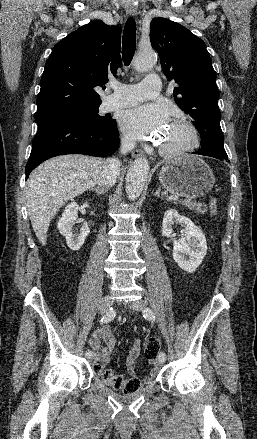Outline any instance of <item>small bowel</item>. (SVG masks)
I'll return each instance as SVG.
<instances>
[{"label":"small bowel","mask_w":257,"mask_h":439,"mask_svg":"<svg viewBox=\"0 0 257 439\" xmlns=\"http://www.w3.org/2000/svg\"><path fill=\"white\" fill-rule=\"evenodd\" d=\"M89 346L92 348L95 356V361L105 366L111 357V354L115 348L116 339L108 325H104L95 329L88 341ZM140 361V340L135 339L128 350L126 358L127 373L130 377L135 378L136 368ZM153 368L149 374L146 375L142 382L150 384L158 374V367L154 359L151 360ZM141 382V381H140Z\"/></svg>","instance_id":"small-bowel-1"}]
</instances>
